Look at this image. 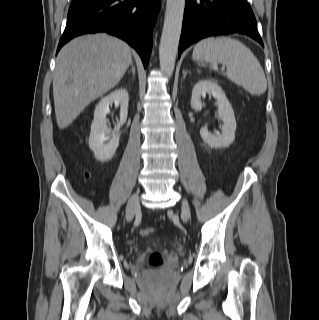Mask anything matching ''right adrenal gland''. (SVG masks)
<instances>
[{"label": "right adrenal gland", "instance_id": "right-adrenal-gland-1", "mask_svg": "<svg viewBox=\"0 0 319 320\" xmlns=\"http://www.w3.org/2000/svg\"><path fill=\"white\" fill-rule=\"evenodd\" d=\"M131 71H132V73H133V76H135L136 71H135V66H134V64H133V61L131 62ZM129 72H130V71H129Z\"/></svg>", "mask_w": 319, "mask_h": 320}]
</instances>
